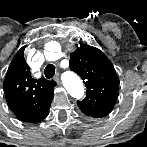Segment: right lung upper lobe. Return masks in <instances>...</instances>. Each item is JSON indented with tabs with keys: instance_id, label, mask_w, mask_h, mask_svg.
Masks as SVG:
<instances>
[{
	"instance_id": "1",
	"label": "right lung upper lobe",
	"mask_w": 147,
	"mask_h": 147,
	"mask_svg": "<svg viewBox=\"0 0 147 147\" xmlns=\"http://www.w3.org/2000/svg\"><path fill=\"white\" fill-rule=\"evenodd\" d=\"M24 48L17 52L8 68L4 80V93L9 108L19 119L36 123L49 114L56 82L31 77L23 55Z\"/></svg>"
}]
</instances>
